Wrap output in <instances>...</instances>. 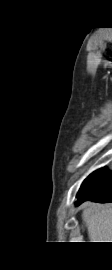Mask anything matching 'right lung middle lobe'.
I'll return each instance as SVG.
<instances>
[{"instance_id": "obj_1", "label": "right lung middle lobe", "mask_w": 112, "mask_h": 270, "mask_svg": "<svg viewBox=\"0 0 112 270\" xmlns=\"http://www.w3.org/2000/svg\"><path fill=\"white\" fill-rule=\"evenodd\" d=\"M82 192H83V190H82V186H81V188H80V190H79V192L77 194V197H79L82 194Z\"/></svg>"}]
</instances>
